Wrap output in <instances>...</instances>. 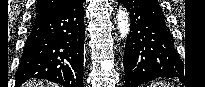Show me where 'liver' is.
Segmentation results:
<instances>
[{"instance_id":"liver-1","label":"liver","mask_w":205,"mask_h":87,"mask_svg":"<svg viewBox=\"0 0 205 87\" xmlns=\"http://www.w3.org/2000/svg\"><path fill=\"white\" fill-rule=\"evenodd\" d=\"M25 87H55L54 84H43V82L40 81H31L27 84H25Z\"/></svg>"}]
</instances>
